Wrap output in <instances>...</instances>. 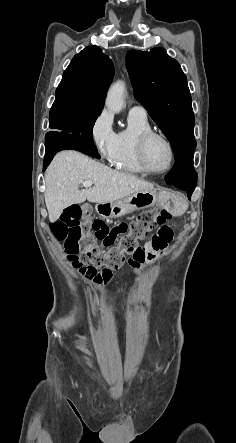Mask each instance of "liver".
<instances>
[{"mask_svg": "<svg viewBox=\"0 0 236 443\" xmlns=\"http://www.w3.org/2000/svg\"><path fill=\"white\" fill-rule=\"evenodd\" d=\"M92 188L80 190L84 181ZM45 203L50 222L59 219L63 210L88 200L110 203L142 190L154 189L153 184L131 174L112 170L76 151L58 153L45 174Z\"/></svg>", "mask_w": 236, "mask_h": 443, "instance_id": "1", "label": "liver"}]
</instances>
